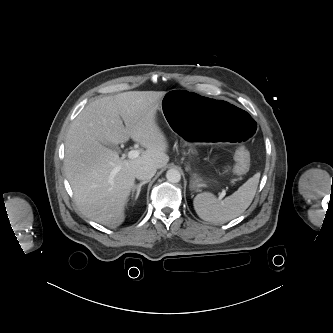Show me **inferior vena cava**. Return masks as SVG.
<instances>
[{
    "instance_id": "602c4592",
    "label": "inferior vena cava",
    "mask_w": 333,
    "mask_h": 333,
    "mask_svg": "<svg viewBox=\"0 0 333 333\" xmlns=\"http://www.w3.org/2000/svg\"><path fill=\"white\" fill-rule=\"evenodd\" d=\"M157 168L152 165L139 166L135 171V177L138 180H150L156 173Z\"/></svg>"
}]
</instances>
